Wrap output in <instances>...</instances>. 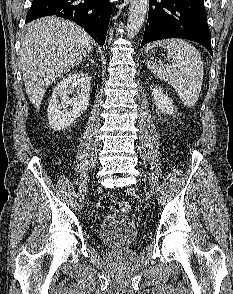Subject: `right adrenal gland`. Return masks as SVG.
<instances>
[{"instance_id": "right-adrenal-gland-1", "label": "right adrenal gland", "mask_w": 233, "mask_h": 294, "mask_svg": "<svg viewBox=\"0 0 233 294\" xmlns=\"http://www.w3.org/2000/svg\"><path fill=\"white\" fill-rule=\"evenodd\" d=\"M89 61H90L91 63H94V60H93V59H89Z\"/></svg>"}]
</instances>
